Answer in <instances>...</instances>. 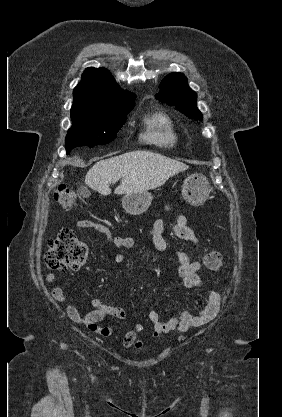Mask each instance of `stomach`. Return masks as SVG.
Instances as JSON below:
<instances>
[{"instance_id": "obj_1", "label": "stomach", "mask_w": 282, "mask_h": 417, "mask_svg": "<svg viewBox=\"0 0 282 417\" xmlns=\"http://www.w3.org/2000/svg\"><path fill=\"white\" fill-rule=\"evenodd\" d=\"M210 184L204 174H190L182 184V194L190 204H203L210 194ZM153 200L151 192H128L122 196V206L129 215H142Z\"/></svg>"}]
</instances>
